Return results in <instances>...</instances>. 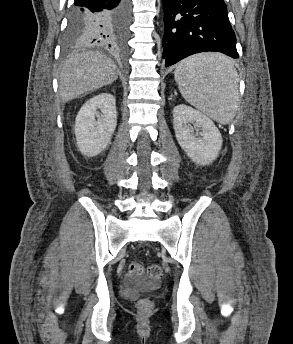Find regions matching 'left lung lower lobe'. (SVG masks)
<instances>
[{"mask_svg": "<svg viewBox=\"0 0 293 344\" xmlns=\"http://www.w3.org/2000/svg\"><path fill=\"white\" fill-rule=\"evenodd\" d=\"M165 67L192 54L217 51L239 58L224 0H162Z\"/></svg>", "mask_w": 293, "mask_h": 344, "instance_id": "1", "label": "left lung lower lobe"}]
</instances>
